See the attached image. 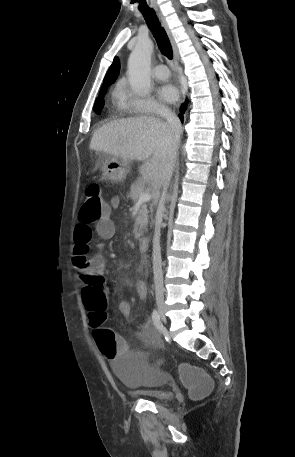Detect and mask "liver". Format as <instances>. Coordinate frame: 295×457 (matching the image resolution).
Masks as SVG:
<instances>
[{
  "label": "liver",
  "instance_id": "obj_1",
  "mask_svg": "<svg viewBox=\"0 0 295 457\" xmlns=\"http://www.w3.org/2000/svg\"><path fill=\"white\" fill-rule=\"evenodd\" d=\"M90 149L127 161H142V179L156 190L162 186L167 168L175 162L178 141L167 123L142 116L103 125L94 133Z\"/></svg>",
  "mask_w": 295,
  "mask_h": 457
}]
</instances>
